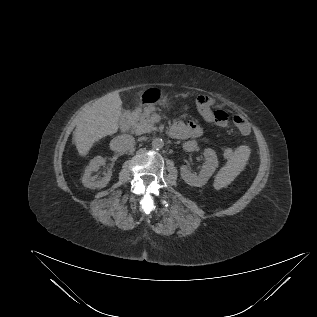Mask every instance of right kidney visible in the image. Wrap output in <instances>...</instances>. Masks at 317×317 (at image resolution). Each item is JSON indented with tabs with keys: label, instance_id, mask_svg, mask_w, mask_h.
I'll use <instances>...</instances> for the list:
<instances>
[{
	"label": "right kidney",
	"instance_id": "right-kidney-1",
	"mask_svg": "<svg viewBox=\"0 0 317 317\" xmlns=\"http://www.w3.org/2000/svg\"><path fill=\"white\" fill-rule=\"evenodd\" d=\"M105 164V160L101 156H97L90 161V164L86 167L84 175L82 177V183L85 187L90 189L104 188L111 179L112 171L107 170L103 173V177L97 180L96 176L92 173L97 171L100 166Z\"/></svg>",
	"mask_w": 317,
	"mask_h": 317
}]
</instances>
